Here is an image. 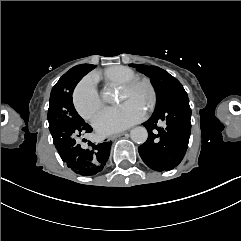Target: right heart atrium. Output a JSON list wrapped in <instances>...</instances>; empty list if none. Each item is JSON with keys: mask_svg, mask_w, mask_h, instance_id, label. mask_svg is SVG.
<instances>
[{"mask_svg": "<svg viewBox=\"0 0 241 241\" xmlns=\"http://www.w3.org/2000/svg\"><path fill=\"white\" fill-rule=\"evenodd\" d=\"M100 83V76L91 73L73 92V105L77 113L85 120H90L102 106V102L96 94Z\"/></svg>", "mask_w": 241, "mask_h": 241, "instance_id": "d8ad5b80", "label": "right heart atrium"}]
</instances>
